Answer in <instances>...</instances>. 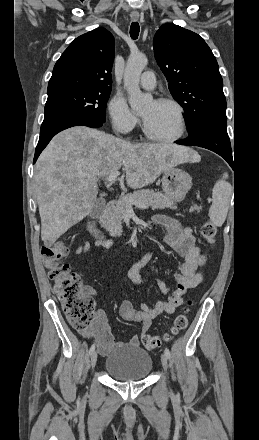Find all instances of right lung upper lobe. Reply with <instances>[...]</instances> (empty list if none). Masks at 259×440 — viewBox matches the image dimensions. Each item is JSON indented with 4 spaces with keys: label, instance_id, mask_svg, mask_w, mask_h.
Listing matches in <instances>:
<instances>
[{
    "label": "right lung upper lobe",
    "instance_id": "obj_1",
    "mask_svg": "<svg viewBox=\"0 0 259 440\" xmlns=\"http://www.w3.org/2000/svg\"><path fill=\"white\" fill-rule=\"evenodd\" d=\"M114 38L96 28L73 40L56 62L48 94L67 89L111 91Z\"/></svg>",
    "mask_w": 259,
    "mask_h": 440
}]
</instances>
